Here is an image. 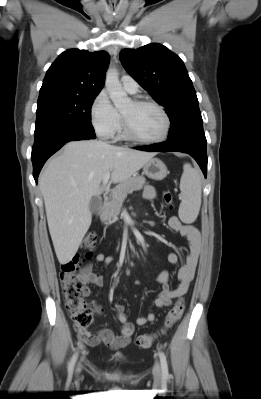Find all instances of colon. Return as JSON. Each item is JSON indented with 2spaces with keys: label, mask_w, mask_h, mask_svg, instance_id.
Here are the masks:
<instances>
[{
  "label": "colon",
  "mask_w": 261,
  "mask_h": 399,
  "mask_svg": "<svg viewBox=\"0 0 261 399\" xmlns=\"http://www.w3.org/2000/svg\"><path fill=\"white\" fill-rule=\"evenodd\" d=\"M163 201L167 207H172L173 196L171 192L163 193ZM98 236L95 232H89L83 239V247L87 250L82 257L78 256L64 263L60 269V283L65 300L66 309L74 323V328L83 339L89 338L88 327L93 322V310L81 295V288L76 281V273L83 261L91 257V251L96 247ZM183 300H178L170 309L164 322V330L171 328L182 316L184 311ZM156 336L151 334L140 335L136 340V346L147 349L152 346Z\"/></svg>",
  "instance_id": "1"
}]
</instances>
